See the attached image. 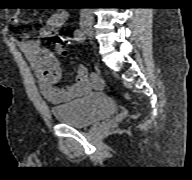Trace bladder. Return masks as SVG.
I'll use <instances>...</instances> for the list:
<instances>
[{
	"label": "bladder",
	"instance_id": "1",
	"mask_svg": "<svg viewBox=\"0 0 192 180\" xmlns=\"http://www.w3.org/2000/svg\"><path fill=\"white\" fill-rule=\"evenodd\" d=\"M51 112L59 122L79 128L112 116L116 105L107 95L94 93L52 106Z\"/></svg>",
	"mask_w": 192,
	"mask_h": 180
}]
</instances>
